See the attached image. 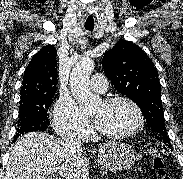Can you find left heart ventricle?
<instances>
[{
	"instance_id": "left-heart-ventricle-1",
	"label": "left heart ventricle",
	"mask_w": 183,
	"mask_h": 179,
	"mask_svg": "<svg viewBox=\"0 0 183 179\" xmlns=\"http://www.w3.org/2000/svg\"><path fill=\"white\" fill-rule=\"evenodd\" d=\"M98 127L110 133H122L131 130L137 123L134 109L125 102L113 105L101 103L93 112Z\"/></svg>"
}]
</instances>
